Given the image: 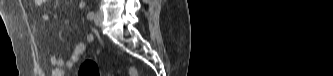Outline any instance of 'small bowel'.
Here are the masks:
<instances>
[{
  "label": "small bowel",
  "mask_w": 333,
  "mask_h": 76,
  "mask_svg": "<svg viewBox=\"0 0 333 76\" xmlns=\"http://www.w3.org/2000/svg\"><path fill=\"white\" fill-rule=\"evenodd\" d=\"M48 1L46 0H37L36 3L38 5H45ZM85 3L82 1L80 2V8H83ZM42 19L46 22L51 20V16L48 13H44L42 15ZM86 42L78 43L74 50L71 52L67 59H63L59 56L52 55L50 58V63L53 67L52 75L53 76H63L64 75V68H71L79 59L80 57L86 52L88 48V44L92 43L94 37L92 34H88L85 37Z\"/></svg>",
  "instance_id": "c3829d8e"
}]
</instances>
